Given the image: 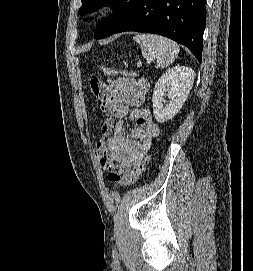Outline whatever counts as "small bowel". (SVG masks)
I'll return each instance as SVG.
<instances>
[{"label": "small bowel", "mask_w": 253, "mask_h": 271, "mask_svg": "<svg viewBox=\"0 0 253 271\" xmlns=\"http://www.w3.org/2000/svg\"><path fill=\"white\" fill-rule=\"evenodd\" d=\"M107 74L110 84H103L100 95L96 96L105 119L95 152L101 167L109 174L126 175L147 153L160 128L150 110L141 107L149 92L148 81L132 76H116L114 72ZM126 117L135 124L129 135L125 134Z\"/></svg>", "instance_id": "1"}]
</instances>
